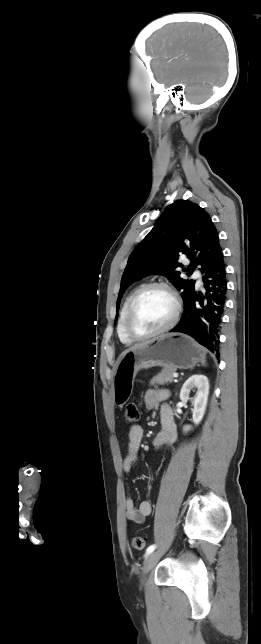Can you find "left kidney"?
<instances>
[{
    "instance_id": "5707ae66",
    "label": "left kidney",
    "mask_w": 261,
    "mask_h": 644,
    "mask_svg": "<svg viewBox=\"0 0 261 644\" xmlns=\"http://www.w3.org/2000/svg\"><path fill=\"white\" fill-rule=\"evenodd\" d=\"M194 388H197V392L195 397L189 398L190 391L193 390ZM208 394H209V381L208 378L204 375H193L190 378L186 380V382L183 384L181 391H180V399L184 402L188 400H192V405L194 406V409L192 411V419L194 424L198 425L206 410L207 406V401H208ZM190 425H186L183 427L184 432H188L191 430Z\"/></svg>"
}]
</instances>
